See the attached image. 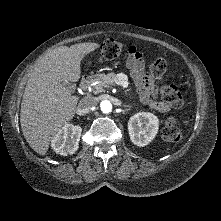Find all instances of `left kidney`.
<instances>
[{
	"label": "left kidney",
	"mask_w": 221,
	"mask_h": 221,
	"mask_svg": "<svg viewBox=\"0 0 221 221\" xmlns=\"http://www.w3.org/2000/svg\"><path fill=\"white\" fill-rule=\"evenodd\" d=\"M158 118L148 112H139L128 122V131L131 141L140 147L150 143L158 132Z\"/></svg>",
	"instance_id": "left-kidney-1"
}]
</instances>
